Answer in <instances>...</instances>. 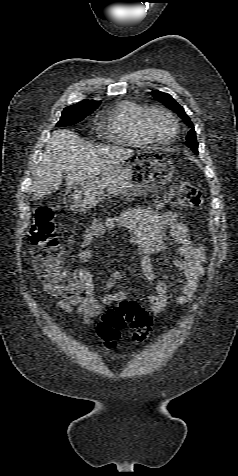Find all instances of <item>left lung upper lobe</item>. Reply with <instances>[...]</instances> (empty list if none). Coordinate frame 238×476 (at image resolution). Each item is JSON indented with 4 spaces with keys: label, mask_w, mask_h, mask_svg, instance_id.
<instances>
[{
    "label": "left lung upper lobe",
    "mask_w": 238,
    "mask_h": 476,
    "mask_svg": "<svg viewBox=\"0 0 238 476\" xmlns=\"http://www.w3.org/2000/svg\"><path fill=\"white\" fill-rule=\"evenodd\" d=\"M153 97L159 100L160 102L164 103L167 107L171 110L176 112L188 125L192 126V129L188 132L186 137V146L192 149L194 152H198V143L196 140L195 130L193 127V123L186 115L182 106H180L173 98L167 93L160 92L158 90H153Z\"/></svg>",
    "instance_id": "left-lung-upper-lobe-1"
}]
</instances>
